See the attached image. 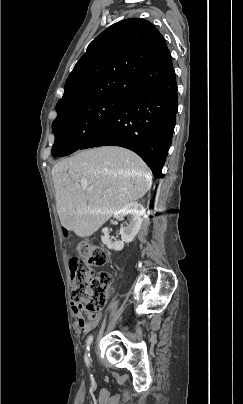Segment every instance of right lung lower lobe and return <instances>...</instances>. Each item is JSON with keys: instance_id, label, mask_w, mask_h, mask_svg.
<instances>
[{"instance_id": "98d812e1", "label": "right lung lower lobe", "mask_w": 243, "mask_h": 404, "mask_svg": "<svg viewBox=\"0 0 243 404\" xmlns=\"http://www.w3.org/2000/svg\"><path fill=\"white\" fill-rule=\"evenodd\" d=\"M177 109L173 70L156 84L127 97L113 117L80 149L105 145L128 148L146 162L158 179L162 177L171 145Z\"/></svg>"}]
</instances>
